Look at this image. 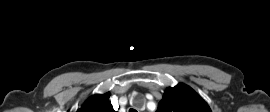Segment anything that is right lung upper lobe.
I'll return each instance as SVG.
<instances>
[{
  "label": "right lung upper lobe",
  "instance_id": "right-lung-upper-lobe-1",
  "mask_svg": "<svg viewBox=\"0 0 270 112\" xmlns=\"http://www.w3.org/2000/svg\"><path fill=\"white\" fill-rule=\"evenodd\" d=\"M109 93L90 97L77 112H117L109 101Z\"/></svg>",
  "mask_w": 270,
  "mask_h": 112
}]
</instances>
